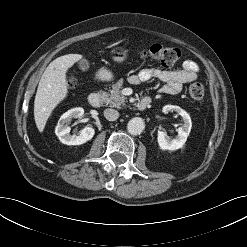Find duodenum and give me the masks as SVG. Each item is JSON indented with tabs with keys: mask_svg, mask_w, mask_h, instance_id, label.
Here are the masks:
<instances>
[{
	"mask_svg": "<svg viewBox=\"0 0 247 247\" xmlns=\"http://www.w3.org/2000/svg\"><path fill=\"white\" fill-rule=\"evenodd\" d=\"M103 102V95L101 93H92L88 96V103L93 107H98ZM152 103L151 98L145 97L138 103L139 110L147 109Z\"/></svg>",
	"mask_w": 247,
	"mask_h": 247,
	"instance_id": "410a0bca",
	"label": "duodenum"
}]
</instances>
